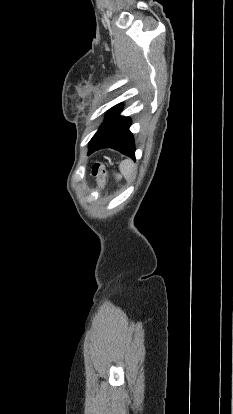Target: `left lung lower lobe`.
Listing matches in <instances>:
<instances>
[{
	"label": "left lung lower lobe",
	"instance_id": "obj_1",
	"mask_svg": "<svg viewBox=\"0 0 233 414\" xmlns=\"http://www.w3.org/2000/svg\"><path fill=\"white\" fill-rule=\"evenodd\" d=\"M119 113V107L111 109L106 120L89 143V154L102 148H113L135 159L134 139L129 131L130 119L119 116Z\"/></svg>",
	"mask_w": 233,
	"mask_h": 414
}]
</instances>
